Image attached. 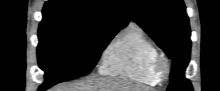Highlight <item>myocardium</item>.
Wrapping results in <instances>:
<instances>
[{"instance_id": "f54148a6", "label": "myocardium", "mask_w": 220, "mask_h": 91, "mask_svg": "<svg viewBox=\"0 0 220 91\" xmlns=\"http://www.w3.org/2000/svg\"><path fill=\"white\" fill-rule=\"evenodd\" d=\"M156 73L160 79H165L170 73V63L165 56L159 55L155 62Z\"/></svg>"}]
</instances>
